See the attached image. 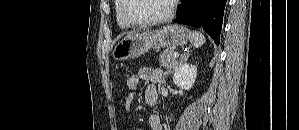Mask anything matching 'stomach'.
I'll return each instance as SVG.
<instances>
[{"label":"stomach","instance_id":"0dacf381","mask_svg":"<svg viewBox=\"0 0 299 130\" xmlns=\"http://www.w3.org/2000/svg\"><path fill=\"white\" fill-rule=\"evenodd\" d=\"M190 31L180 25H168L159 30L131 33L115 46L112 57L123 61L137 58L152 48H171L185 44Z\"/></svg>","mask_w":299,"mask_h":130}]
</instances>
